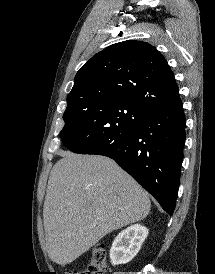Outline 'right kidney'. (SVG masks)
Instances as JSON below:
<instances>
[{
	"label": "right kidney",
	"mask_w": 215,
	"mask_h": 274,
	"mask_svg": "<svg viewBox=\"0 0 215 274\" xmlns=\"http://www.w3.org/2000/svg\"><path fill=\"white\" fill-rule=\"evenodd\" d=\"M148 235V229L140 224L131 225L114 239L110 249L112 265L126 264L139 252Z\"/></svg>",
	"instance_id": "ca27d5eb"
}]
</instances>
